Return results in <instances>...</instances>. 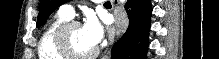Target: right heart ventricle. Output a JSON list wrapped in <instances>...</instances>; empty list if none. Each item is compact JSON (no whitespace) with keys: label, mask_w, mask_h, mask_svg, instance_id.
Wrapping results in <instances>:
<instances>
[{"label":"right heart ventricle","mask_w":219,"mask_h":59,"mask_svg":"<svg viewBox=\"0 0 219 59\" xmlns=\"http://www.w3.org/2000/svg\"><path fill=\"white\" fill-rule=\"evenodd\" d=\"M70 20L62 13H56L43 27L37 44L39 59H66L56 48V36L60 27Z\"/></svg>","instance_id":"right-heart-ventricle-1"}]
</instances>
